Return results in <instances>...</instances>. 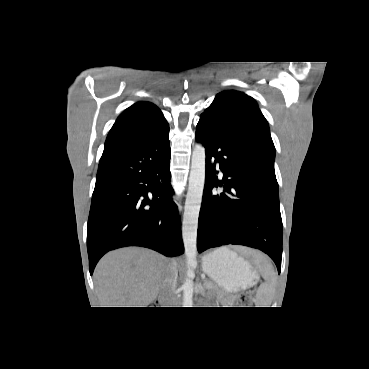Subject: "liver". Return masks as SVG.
Masks as SVG:
<instances>
[{"label": "liver", "instance_id": "obj_1", "mask_svg": "<svg viewBox=\"0 0 369 369\" xmlns=\"http://www.w3.org/2000/svg\"><path fill=\"white\" fill-rule=\"evenodd\" d=\"M253 257L258 252L245 249ZM177 263L143 248L128 247L106 254L94 271L103 307H147L158 296L167 268Z\"/></svg>", "mask_w": 369, "mask_h": 369}]
</instances>
